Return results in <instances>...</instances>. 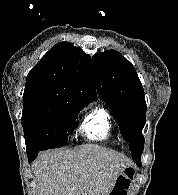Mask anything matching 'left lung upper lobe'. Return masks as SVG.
I'll list each match as a JSON object with an SVG mask.
<instances>
[{"label": "left lung upper lobe", "instance_id": "obj_1", "mask_svg": "<svg viewBox=\"0 0 178 195\" xmlns=\"http://www.w3.org/2000/svg\"><path fill=\"white\" fill-rule=\"evenodd\" d=\"M93 66L97 92L112 110L121 135L129 143L133 160L141 166L146 102L137 72L132 63L115 50L96 54Z\"/></svg>", "mask_w": 178, "mask_h": 195}]
</instances>
